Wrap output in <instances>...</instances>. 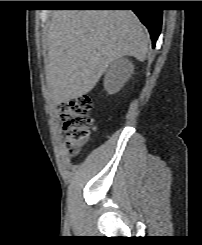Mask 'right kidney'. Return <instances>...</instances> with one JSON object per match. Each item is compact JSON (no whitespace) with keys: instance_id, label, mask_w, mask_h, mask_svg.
Returning a JSON list of instances; mask_svg holds the SVG:
<instances>
[{"instance_id":"obj_1","label":"right kidney","mask_w":202,"mask_h":245,"mask_svg":"<svg viewBox=\"0 0 202 245\" xmlns=\"http://www.w3.org/2000/svg\"><path fill=\"white\" fill-rule=\"evenodd\" d=\"M134 71V65L126 58L112 62L106 71L104 87L109 94L117 93L128 81Z\"/></svg>"}]
</instances>
